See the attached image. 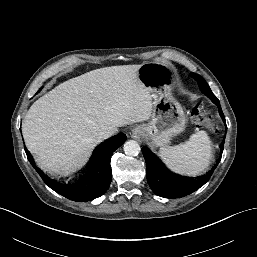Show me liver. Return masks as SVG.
<instances>
[{
	"mask_svg": "<svg viewBox=\"0 0 257 257\" xmlns=\"http://www.w3.org/2000/svg\"><path fill=\"white\" fill-rule=\"evenodd\" d=\"M138 65L95 69L69 79L35 101L22 133L46 171L66 176L80 169L103 140L101 132L150 119L153 95L138 79Z\"/></svg>",
	"mask_w": 257,
	"mask_h": 257,
	"instance_id": "liver-1",
	"label": "liver"
}]
</instances>
